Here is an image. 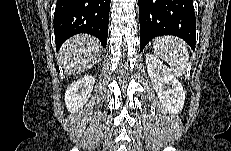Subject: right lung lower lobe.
I'll list each match as a JSON object with an SVG mask.
<instances>
[{"label":"right lung lower lobe","mask_w":231,"mask_h":151,"mask_svg":"<svg viewBox=\"0 0 231 151\" xmlns=\"http://www.w3.org/2000/svg\"><path fill=\"white\" fill-rule=\"evenodd\" d=\"M110 0H57L54 32L57 50L71 36L87 33L107 44Z\"/></svg>","instance_id":"obj_1"}]
</instances>
